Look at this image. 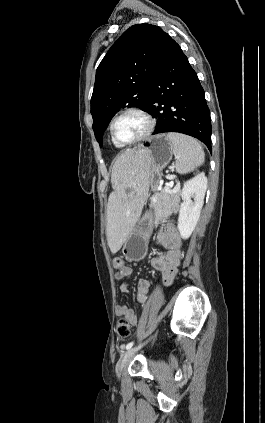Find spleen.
Instances as JSON below:
<instances>
[{"label":"spleen","instance_id":"3e777b00","mask_svg":"<svg viewBox=\"0 0 265 423\" xmlns=\"http://www.w3.org/2000/svg\"><path fill=\"white\" fill-rule=\"evenodd\" d=\"M167 137L173 146L177 173L192 172L204 163L205 154L198 141L192 137L173 132L168 133Z\"/></svg>","mask_w":265,"mask_h":423}]
</instances>
